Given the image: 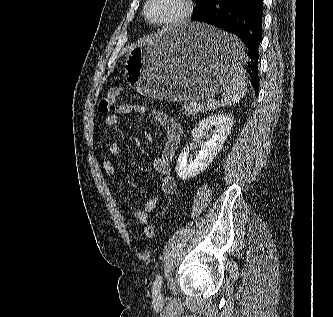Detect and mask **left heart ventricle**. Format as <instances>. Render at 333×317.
I'll list each match as a JSON object with an SVG mask.
<instances>
[{
    "mask_svg": "<svg viewBox=\"0 0 333 317\" xmlns=\"http://www.w3.org/2000/svg\"><path fill=\"white\" fill-rule=\"evenodd\" d=\"M179 10L177 0H153L149 6V14L157 19L174 16Z\"/></svg>",
    "mask_w": 333,
    "mask_h": 317,
    "instance_id": "b2bd125f",
    "label": "left heart ventricle"
}]
</instances>
